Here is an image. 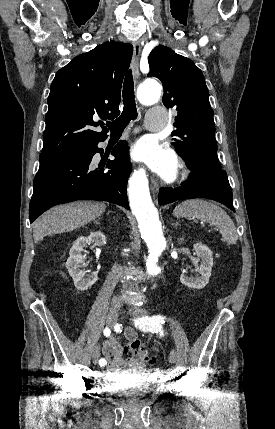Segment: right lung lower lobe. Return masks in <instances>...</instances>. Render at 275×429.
<instances>
[{
    "label": "right lung lower lobe",
    "mask_w": 275,
    "mask_h": 429,
    "mask_svg": "<svg viewBox=\"0 0 275 429\" xmlns=\"http://www.w3.org/2000/svg\"><path fill=\"white\" fill-rule=\"evenodd\" d=\"M105 139L41 161L29 206L31 223L49 208L75 200H104L130 209L126 183L131 163L126 142H119L112 150L115 160L99 164L98 168L92 165L94 154H103L97 144ZM104 166L109 170H104Z\"/></svg>",
    "instance_id": "right-lung-lower-lobe-1"
}]
</instances>
